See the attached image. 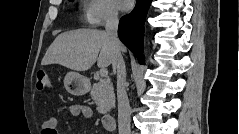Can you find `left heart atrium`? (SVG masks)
Instances as JSON below:
<instances>
[{
	"label": "left heart atrium",
	"mask_w": 239,
	"mask_h": 134,
	"mask_svg": "<svg viewBox=\"0 0 239 134\" xmlns=\"http://www.w3.org/2000/svg\"><path fill=\"white\" fill-rule=\"evenodd\" d=\"M119 6L122 10L126 11L129 10L131 8V1L130 0H119L118 1Z\"/></svg>",
	"instance_id": "1"
}]
</instances>
